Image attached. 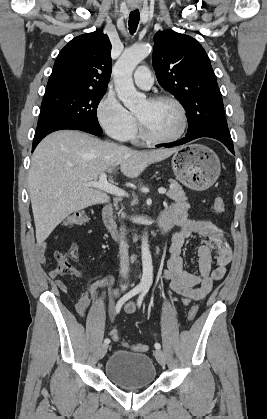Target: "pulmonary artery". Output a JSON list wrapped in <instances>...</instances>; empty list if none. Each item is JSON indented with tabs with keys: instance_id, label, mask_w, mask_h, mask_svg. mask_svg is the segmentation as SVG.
Masks as SVG:
<instances>
[{
	"instance_id": "1",
	"label": "pulmonary artery",
	"mask_w": 267,
	"mask_h": 419,
	"mask_svg": "<svg viewBox=\"0 0 267 419\" xmlns=\"http://www.w3.org/2000/svg\"><path fill=\"white\" fill-rule=\"evenodd\" d=\"M134 82L141 88L148 90L153 84V77L151 71L146 66H140L134 73Z\"/></svg>"
}]
</instances>
